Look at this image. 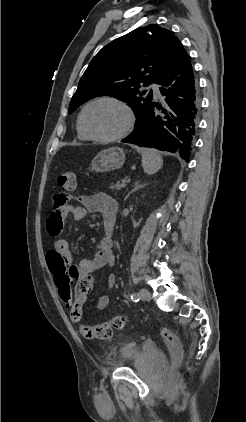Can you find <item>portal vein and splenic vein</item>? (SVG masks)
Instances as JSON below:
<instances>
[{
    "label": "portal vein and splenic vein",
    "mask_w": 246,
    "mask_h": 422,
    "mask_svg": "<svg viewBox=\"0 0 246 422\" xmlns=\"http://www.w3.org/2000/svg\"><path fill=\"white\" fill-rule=\"evenodd\" d=\"M130 181H131V179H130V178H128L127 180H125V181H124V183H125V184H128V183H130Z\"/></svg>",
    "instance_id": "portal-vein-and-splenic-vein-1"
}]
</instances>
